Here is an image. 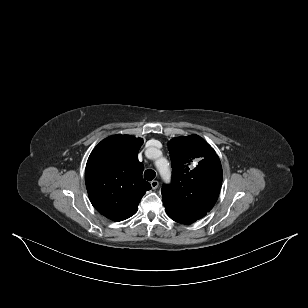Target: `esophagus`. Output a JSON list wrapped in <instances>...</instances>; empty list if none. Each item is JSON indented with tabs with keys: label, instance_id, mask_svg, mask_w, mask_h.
Instances as JSON below:
<instances>
[{
	"label": "esophagus",
	"instance_id": "obj_1",
	"mask_svg": "<svg viewBox=\"0 0 308 308\" xmlns=\"http://www.w3.org/2000/svg\"><path fill=\"white\" fill-rule=\"evenodd\" d=\"M150 184H151L152 189H157L159 186V182L157 180L151 181Z\"/></svg>",
	"mask_w": 308,
	"mask_h": 308
}]
</instances>
